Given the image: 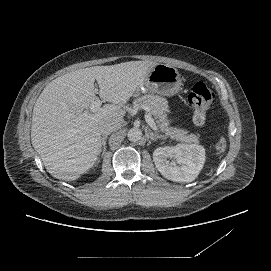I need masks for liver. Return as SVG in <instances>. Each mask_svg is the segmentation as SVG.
Instances as JSON below:
<instances>
[{
  "label": "liver",
  "instance_id": "6515ba94",
  "mask_svg": "<svg viewBox=\"0 0 271 271\" xmlns=\"http://www.w3.org/2000/svg\"><path fill=\"white\" fill-rule=\"evenodd\" d=\"M156 63L129 61L70 71L46 85L35 103L31 140L48 173L75 182L96 165L101 151V126L123 122V107L145 82ZM95 82L104 104L91 110Z\"/></svg>",
  "mask_w": 271,
  "mask_h": 271
}]
</instances>
